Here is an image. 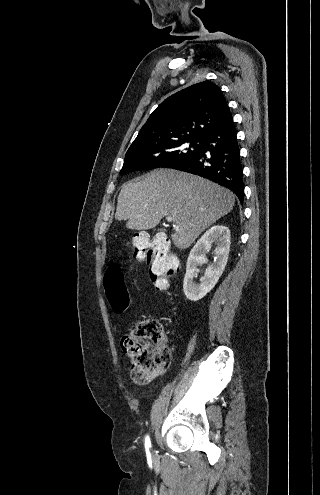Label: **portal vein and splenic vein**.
I'll list each match as a JSON object with an SVG mask.
<instances>
[{
	"mask_svg": "<svg viewBox=\"0 0 320 495\" xmlns=\"http://www.w3.org/2000/svg\"><path fill=\"white\" fill-rule=\"evenodd\" d=\"M167 221H172V217L171 216H168L167 217Z\"/></svg>",
	"mask_w": 320,
	"mask_h": 495,
	"instance_id": "obj_1",
	"label": "portal vein and splenic vein"
}]
</instances>
